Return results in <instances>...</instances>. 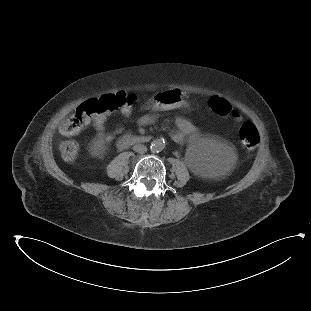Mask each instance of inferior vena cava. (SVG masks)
Segmentation results:
<instances>
[{"instance_id": "602c4592", "label": "inferior vena cava", "mask_w": 311, "mask_h": 311, "mask_svg": "<svg viewBox=\"0 0 311 311\" xmlns=\"http://www.w3.org/2000/svg\"><path fill=\"white\" fill-rule=\"evenodd\" d=\"M133 151L139 153V154H144L147 152V147L142 145V144H137L133 146Z\"/></svg>"}]
</instances>
